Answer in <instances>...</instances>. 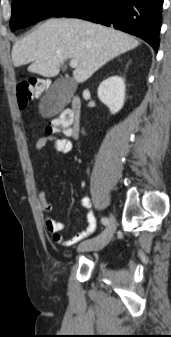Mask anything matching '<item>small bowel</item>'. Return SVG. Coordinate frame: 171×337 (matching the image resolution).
Returning a JSON list of instances; mask_svg holds the SVG:
<instances>
[{"mask_svg": "<svg viewBox=\"0 0 171 337\" xmlns=\"http://www.w3.org/2000/svg\"><path fill=\"white\" fill-rule=\"evenodd\" d=\"M47 145H51L55 150L62 153H71L73 151V143L70 139L58 136V135H45L37 139L35 143V150L41 152ZM38 200L42 211L48 213L51 211L52 206L47 200V194L44 190H40L38 193ZM81 205L88 210L87 214V228L74 235L73 237L67 238L62 234L64 229V224L59 222L49 216L45 218V227L48 232L52 235L53 240L63 246H72L96 230V217L92 210V204L89 198L83 197L81 199Z\"/></svg>", "mask_w": 171, "mask_h": 337, "instance_id": "c3829d8e", "label": "small bowel"}]
</instances>
